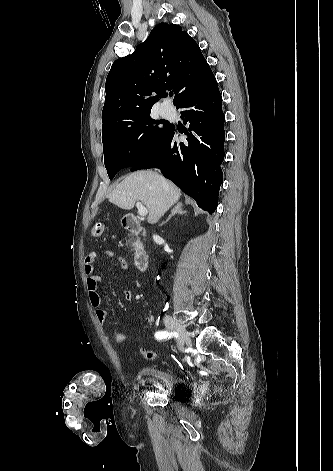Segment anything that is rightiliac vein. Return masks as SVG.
<instances>
[{
    "label": "right iliac vein",
    "mask_w": 333,
    "mask_h": 471,
    "mask_svg": "<svg viewBox=\"0 0 333 471\" xmlns=\"http://www.w3.org/2000/svg\"><path fill=\"white\" fill-rule=\"evenodd\" d=\"M164 324L168 329L173 330L177 333L179 337L178 347L181 349L188 342L189 339V335L185 327L175 318L169 315L164 317Z\"/></svg>",
    "instance_id": "obj_1"
}]
</instances>
